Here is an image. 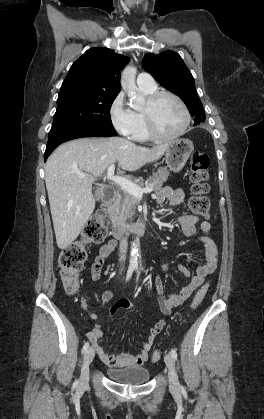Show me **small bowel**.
I'll list each match as a JSON object with an SVG mask.
<instances>
[{
    "label": "small bowel",
    "mask_w": 264,
    "mask_h": 419,
    "mask_svg": "<svg viewBox=\"0 0 264 419\" xmlns=\"http://www.w3.org/2000/svg\"><path fill=\"white\" fill-rule=\"evenodd\" d=\"M185 192L181 188L173 189L169 186L159 189L156 193V201L160 204L168 202L170 206H176L184 201ZM210 215L208 213L195 216L183 215L175 218V222L180 226L184 236L191 237L196 232V227L199 225L200 234L198 242L204 248V262L197 269L195 274L191 275L189 270L180 265L178 270L189 278L188 283L183 286L177 294L165 295L161 279L155 277L154 283L157 292V299L162 312L169 315L174 307L184 303L191 294L203 284L205 278L210 275L217 267L218 262V249L214 241L209 236L211 230ZM115 240H109L102 245L94 258L90 268V276L93 281H98L101 278V271L105 259L116 247ZM164 270L168 269L166 264L162 265ZM110 291L106 290L102 294V301L108 303L111 300ZM86 307V304H84ZM128 307L126 300H118L110 308V316L113 317L120 309ZM92 319H96L94 313H90ZM166 325L165 320H159L148 332L146 340L143 342L139 353L137 354H111L108 353L101 345L102 342V329L96 325L91 331L87 333V337L91 345L101 359V361L109 367L121 368L130 366H142L149 357L156 336L163 330Z\"/></svg>",
    "instance_id": "1"
}]
</instances>
